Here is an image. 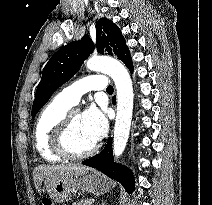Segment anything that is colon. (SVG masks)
<instances>
[{"label": "colon", "instance_id": "5ec220e1", "mask_svg": "<svg viewBox=\"0 0 212 205\" xmlns=\"http://www.w3.org/2000/svg\"><path fill=\"white\" fill-rule=\"evenodd\" d=\"M42 205H54V204L52 203L51 200H49V199H44L43 202H42Z\"/></svg>", "mask_w": 212, "mask_h": 205}]
</instances>
